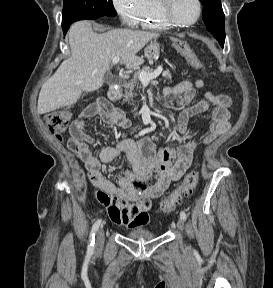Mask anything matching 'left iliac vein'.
I'll return each instance as SVG.
<instances>
[{
  "label": "left iliac vein",
  "mask_w": 273,
  "mask_h": 288,
  "mask_svg": "<svg viewBox=\"0 0 273 288\" xmlns=\"http://www.w3.org/2000/svg\"><path fill=\"white\" fill-rule=\"evenodd\" d=\"M177 228H178V230L182 233L183 232V230H184V221H183V219H178V221H177Z\"/></svg>",
  "instance_id": "4c4485c4"
}]
</instances>
